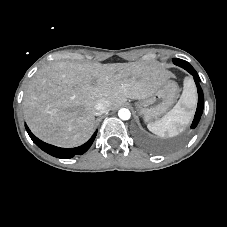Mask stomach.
Returning a JSON list of instances; mask_svg holds the SVG:
<instances>
[{
  "mask_svg": "<svg viewBox=\"0 0 227 227\" xmlns=\"http://www.w3.org/2000/svg\"><path fill=\"white\" fill-rule=\"evenodd\" d=\"M179 88L176 82L167 80L147 99L136 104V110L145 122H151L166 113L176 102Z\"/></svg>",
  "mask_w": 227,
  "mask_h": 227,
  "instance_id": "obj_1",
  "label": "stomach"
}]
</instances>
